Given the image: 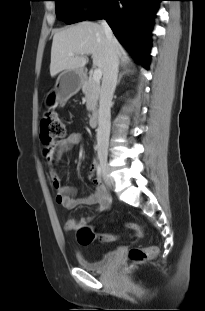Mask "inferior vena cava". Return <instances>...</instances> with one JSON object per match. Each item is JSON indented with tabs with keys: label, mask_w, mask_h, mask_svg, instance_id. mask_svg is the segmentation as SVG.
I'll use <instances>...</instances> for the list:
<instances>
[{
	"label": "inferior vena cava",
	"mask_w": 205,
	"mask_h": 311,
	"mask_svg": "<svg viewBox=\"0 0 205 311\" xmlns=\"http://www.w3.org/2000/svg\"><path fill=\"white\" fill-rule=\"evenodd\" d=\"M108 40L107 66L103 74L99 110H98V128H97V148L107 152L110 136V109L112 97L117 84L119 57L115 49V38L112 30L106 21L101 23Z\"/></svg>",
	"instance_id": "1"
}]
</instances>
